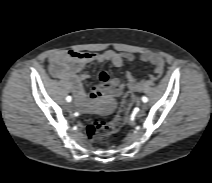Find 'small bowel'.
<instances>
[{"instance_id": "obj_1", "label": "small bowel", "mask_w": 212, "mask_h": 183, "mask_svg": "<svg viewBox=\"0 0 212 183\" xmlns=\"http://www.w3.org/2000/svg\"><path fill=\"white\" fill-rule=\"evenodd\" d=\"M140 59L152 64L156 74L163 72L164 62L159 54L145 52L140 56ZM133 60L134 55L128 52L118 53L113 50H107L102 53H89L68 50L53 53L49 57V64L51 73L56 78L70 85L78 100V107L84 110L87 107V99L82 82L88 78V75L80 74L81 70L89 63L102 64L110 62L119 68L124 61ZM125 88L139 91L143 88V85L131 72L126 73V82H122L118 78H111L106 72H101L100 84L91 90L89 97L91 100H97L101 97L118 96Z\"/></svg>"}]
</instances>
